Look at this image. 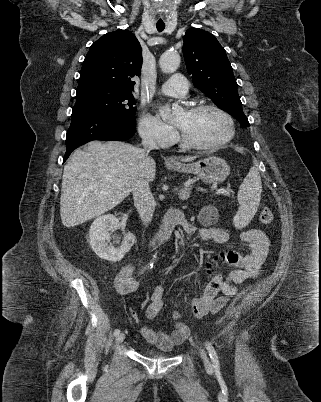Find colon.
<instances>
[{
    "label": "colon",
    "instance_id": "obj_1",
    "mask_svg": "<svg viewBox=\"0 0 321 402\" xmlns=\"http://www.w3.org/2000/svg\"><path fill=\"white\" fill-rule=\"evenodd\" d=\"M273 219H274V215L270 208L266 207L261 210L260 221L262 224L269 225L273 222ZM210 303H211L210 299L202 300L201 302H199L197 304L195 313L198 315L207 313L209 310V307H210ZM132 314H133V317L136 318L135 313H132Z\"/></svg>",
    "mask_w": 321,
    "mask_h": 402
}]
</instances>
